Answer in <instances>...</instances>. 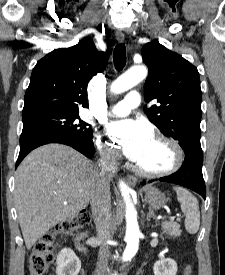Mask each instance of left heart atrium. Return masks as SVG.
<instances>
[{
    "mask_svg": "<svg viewBox=\"0 0 225 275\" xmlns=\"http://www.w3.org/2000/svg\"><path fill=\"white\" fill-rule=\"evenodd\" d=\"M107 131L123 154L136 163L154 139L152 129L142 120H116L108 124Z\"/></svg>",
    "mask_w": 225,
    "mask_h": 275,
    "instance_id": "1",
    "label": "left heart atrium"
}]
</instances>
